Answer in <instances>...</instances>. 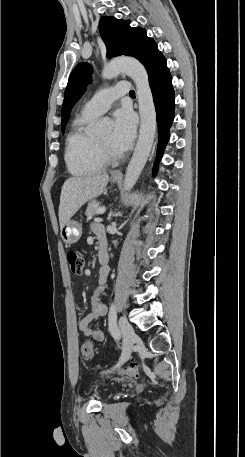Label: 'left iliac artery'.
Listing matches in <instances>:
<instances>
[{
    "mask_svg": "<svg viewBox=\"0 0 245 457\" xmlns=\"http://www.w3.org/2000/svg\"><path fill=\"white\" fill-rule=\"evenodd\" d=\"M116 318H117L116 305L114 303H112L110 306L109 315H108L109 331L115 339H119L120 333L117 329Z\"/></svg>",
    "mask_w": 245,
    "mask_h": 457,
    "instance_id": "left-iliac-artery-1",
    "label": "left iliac artery"
}]
</instances>
